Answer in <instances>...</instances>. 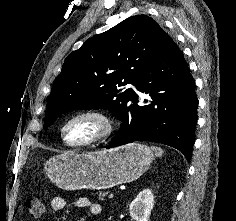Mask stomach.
Masks as SVG:
<instances>
[{
    "label": "stomach",
    "mask_w": 236,
    "mask_h": 221,
    "mask_svg": "<svg viewBox=\"0 0 236 221\" xmlns=\"http://www.w3.org/2000/svg\"><path fill=\"white\" fill-rule=\"evenodd\" d=\"M153 158L148 146L130 143L85 154L64 152L50 158L45 170L51 182L63 190H101L138 179Z\"/></svg>",
    "instance_id": "1"
}]
</instances>
